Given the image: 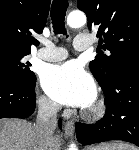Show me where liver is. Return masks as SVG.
Segmentation results:
<instances>
[{
	"label": "liver",
	"instance_id": "6515ba94",
	"mask_svg": "<svg viewBox=\"0 0 139 150\" xmlns=\"http://www.w3.org/2000/svg\"><path fill=\"white\" fill-rule=\"evenodd\" d=\"M54 150H59L61 140L55 137ZM0 150H39L34 127L21 119L0 120Z\"/></svg>",
	"mask_w": 139,
	"mask_h": 150
}]
</instances>
